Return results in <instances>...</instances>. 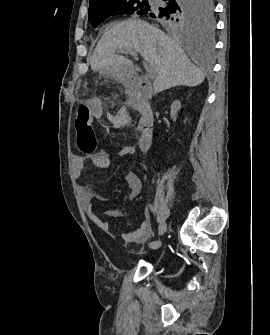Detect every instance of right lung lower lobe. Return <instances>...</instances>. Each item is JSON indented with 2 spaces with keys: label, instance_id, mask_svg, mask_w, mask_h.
Listing matches in <instances>:
<instances>
[{
  "label": "right lung lower lobe",
  "instance_id": "98d812e1",
  "mask_svg": "<svg viewBox=\"0 0 270 335\" xmlns=\"http://www.w3.org/2000/svg\"><path fill=\"white\" fill-rule=\"evenodd\" d=\"M164 1V0H163ZM165 2H167V1H165ZM166 5V3L163 5V6H165Z\"/></svg>",
  "mask_w": 270,
  "mask_h": 335
}]
</instances>
